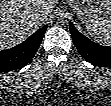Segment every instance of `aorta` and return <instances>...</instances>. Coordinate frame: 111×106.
Returning a JSON list of instances; mask_svg holds the SVG:
<instances>
[{
  "mask_svg": "<svg viewBox=\"0 0 111 106\" xmlns=\"http://www.w3.org/2000/svg\"><path fill=\"white\" fill-rule=\"evenodd\" d=\"M57 23H58V25H60V26H66V25H68V20H67L66 17L61 16V17H59V18L57 19Z\"/></svg>",
  "mask_w": 111,
  "mask_h": 106,
  "instance_id": "1",
  "label": "aorta"
}]
</instances>
